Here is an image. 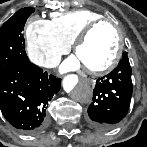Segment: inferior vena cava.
<instances>
[{
	"label": "inferior vena cava",
	"instance_id": "1",
	"mask_svg": "<svg viewBox=\"0 0 147 147\" xmlns=\"http://www.w3.org/2000/svg\"><path fill=\"white\" fill-rule=\"evenodd\" d=\"M59 64V62L45 63L44 66L48 68L55 67Z\"/></svg>",
	"mask_w": 147,
	"mask_h": 147
}]
</instances>
